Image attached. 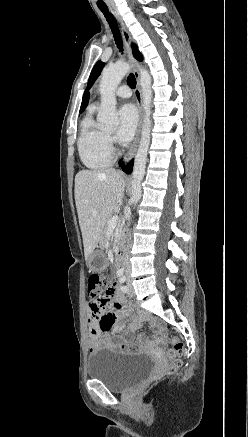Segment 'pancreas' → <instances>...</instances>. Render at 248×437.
I'll return each mask as SVG.
<instances>
[{
    "label": "pancreas",
    "instance_id": "1",
    "mask_svg": "<svg viewBox=\"0 0 248 437\" xmlns=\"http://www.w3.org/2000/svg\"><path fill=\"white\" fill-rule=\"evenodd\" d=\"M108 221V220H107ZM107 227H108V224L106 223L105 224V227H104V232H103V236L105 237V234H106V232H107Z\"/></svg>",
    "mask_w": 248,
    "mask_h": 437
}]
</instances>
